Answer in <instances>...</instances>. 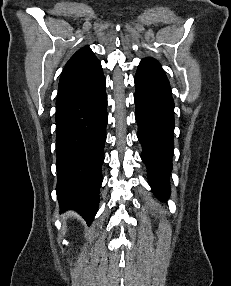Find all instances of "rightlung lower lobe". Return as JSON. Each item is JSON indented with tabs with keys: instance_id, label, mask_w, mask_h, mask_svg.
Returning a JSON list of instances; mask_svg holds the SVG:
<instances>
[{
	"instance_id": "98d812e1",
	"label": "right lung lower lobe",
	"mask_w": 231,
	"mask_h": 286,
	"mask_svg": "<svg viewBox=\"0 0 231 286\" xmlns=\"http://www.w3.org/2000/svg\"><path fill=\"white\" fill-rule=\"evenodd\" d=\"M102 68L74 82H59L56 100V193L62 211L76 210L90 224L97 212L107 124Z\"/></svg>"
}]
</instances>
